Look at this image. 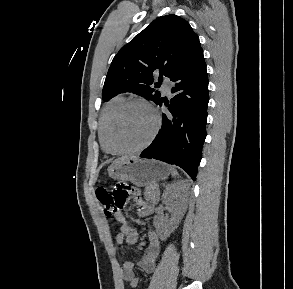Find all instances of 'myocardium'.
I'll list each match as a JSON object with an SVG mask.
<instances>
[{
  "mask_svg": "<svg viewBox=\"0 0 293 289\" xmlns=\"http://www.w3.org/2000/svg\"><path fill=\"white\" fill-rule=\"evenodd\" d=\"M144 105L147 108L150 109V111L153 114L154 117V128L150 134V136L148 137V139L141 144L138 147L135 148H131V149H118L113 145L112 142V132H113V128H114V124L116 122V120L119 118V116L130 106L132 105ZM161 128V117L159 112L157 111V109L148 101H145L143 99H130L125 101L112 115V117L109 120L107 129H106V135H105V142H106V151L109 154L112 155H126V154H133V153H137L140 152L142 150H144L145 148H147L156 138V136L158 135L159 131Z\"/></svg>",
  "mask_w": 293,
  "mask_h": 289,
  "instance_id": "obj_1",
  "label": "myocardium"
}]
</instances>
